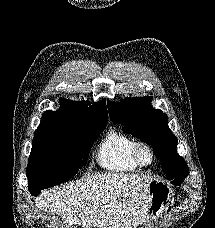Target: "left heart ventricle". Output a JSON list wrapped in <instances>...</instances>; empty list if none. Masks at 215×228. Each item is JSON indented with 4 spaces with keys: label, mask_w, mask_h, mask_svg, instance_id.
Listing matches in <instances>:
<instances>
[{
    "label": "left heart ventricle",
    "mask_w": 215,
    "mask_h": 228,
    "mask_svg": "<svg viewBox=\"0 0 215 228\" xmlns=\"http://www.w3.org/2000/svg\"><path fill=\"white\" fill-rule=\"evenodd\" d=\"M143 159H144V161H149V155L148 154H146V153H144L143 154Z\"/></svg>",
    "instance_id": "1"
}]
</instances>
